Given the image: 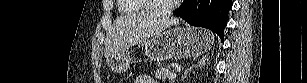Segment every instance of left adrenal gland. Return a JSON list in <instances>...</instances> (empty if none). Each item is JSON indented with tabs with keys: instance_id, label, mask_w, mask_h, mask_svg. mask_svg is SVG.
Returning <instances> with one entry per match:
<instances>
[{
	"instance_id": "1",
	"label": "left adrenal gland",
	"mask_w": 307,
	"mask_h": 83,
	"mask_svg": "<svg viewBox=\"0 0 307 83\" xmlns=\"http://www.w3.org/2000/svg\"><path fill=\"white\" fill-rule=\"evenodd\" d=\"M206 57L207 56H203L198 62H196L195 64H193L189 68H187L184 72V76L182 77V80H184L187 77L188 73L191 72L194 68L203 67L206 64Z\"/></svg>"
}]
</instances>
